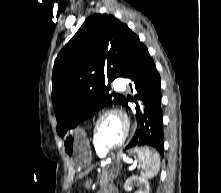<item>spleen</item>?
Returning a JSON list of instances; mask_svg holds the SVG:
<instances>
[{
    "mask_svg": "<svg viewBox=\"0 0 221 193\" xmlns=\"http://www.w3.org/2000/svg\"><path fill=\"white\" fill-rule=\"evenodd\" d=\"M139 164L142 168L141 176L146 179L155 177L160 169V159L151 146H134Z\"/></svg>",
    "mask_w": 221,
    "mask_h": 193,
    "instance_id": "1",
    "label": "spleen"
}]
</instances>
